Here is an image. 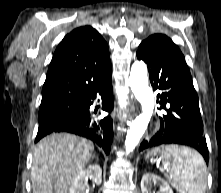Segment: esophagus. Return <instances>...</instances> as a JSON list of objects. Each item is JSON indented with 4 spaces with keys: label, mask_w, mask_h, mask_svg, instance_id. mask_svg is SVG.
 <instances>
[{
    "label": "esophagus",
    "mask_w": 221,
    "mask_h": 193,
    "mask_svg": "<svg viewBox=\"0 0 221 193\" xmlns=\"http://www.w3.org/2000/svg\"><path fill=\"white\" fill-rule=\"evenodd\" d=\"M123 100L126 102L128 99L125 97ZM122 103H124V102H122ZM126 103H128V102H126ZM129 104H130V106H129L128 111H129V114H130V119H133V117L136 115V113H135V101L132 99V101H129ZM125 107H127V106H125ZM117 113H118V108L115 107L114 111H113V114H112L113 119H115Z\"/></svg>",
    "instance_id": "34e87169"
}]
</instances>
